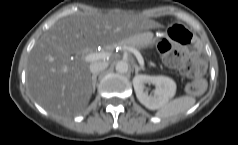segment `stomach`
<instances>
[{
	"label": "stomach",
	"instance_id": "0dacf381",
	"mask_svg": "<svg viewBox=\"0 0 238 145\" xmlns=\"http://www.w3.org/2000/svg\"><path fill=\"white\" fill-rule=\"evenodd\" d=\"M166 35L177 46L191 53L200 51L202 47L199 35L182 22H171L166 28Z\"/></svg>",
	"mask_w": 238,
	"mask_h": 145
}]
</instances>
